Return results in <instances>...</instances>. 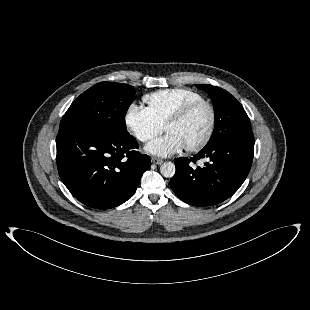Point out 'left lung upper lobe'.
Segmentation results:
<instances>
[{
  "label": "left lung upper lobe",
  "mask_w": 310,
  "mask_h": 310,
  "mask_svg": "<svg viewBox=\"0 0 310 310\" xmlns=\"http://www.w3.org/2000/svg\"><path fill=\"white\" fill-rule=\"evenodd\" d=\"M197 87L204 90L214 104V131L205 147H209L240 133L251 131L248 115L238 100L229 92L207 84L198 85Z\"/></svg>",
  "instance_id": "1"
}]
</instances>
